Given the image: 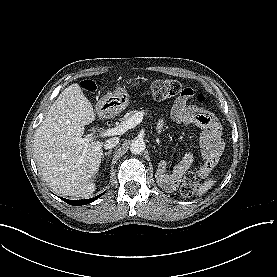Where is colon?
<instances>
[{"label": "colon", "instance_id": "5ec220e1", "mask_svg": "<svg viewBox=\"0 0 277 277\" xmlns=\"http://www.w3.org/2000/svg\"><path fill=\"white\" fill-rule=\"evenodd\" d=\"M84 87L88 90L95 88V83L88 81ZM152 95L157 100H165L177 95L193 96L194 99L199 103L204 102V95L200 92H196L190 87H187L176 80L171 79H158L151 83ZM207 168L214 166L212 158L205 163ZM197 178L193 174H188L183 180L180 188V192L184 197H191L196 191Z\"/></svg>", "mask_w": 277, "mask_h": 277}]
</instances>
